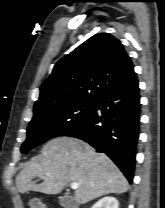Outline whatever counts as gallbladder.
Masks as SVG:
<instances>
[{
  "mask_svg": "<svg viewBox=\"0 0 165 208\" xmlns=\"http://www.w3.org/2000/svg\"><path fill=\"white\" fill-rule=\"evenodd\" d=\"M59 203L63 208H76L77 202L75 199L70 195H63L59 197Z\"/></svg>",
  "mask_w": 165,
  "mask_h": 208,
  "instance_id": "bac80fb5",
  "label": "gallbladder"
}]
</instances>
